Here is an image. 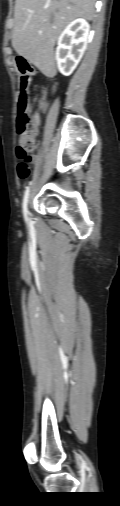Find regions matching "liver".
I'll return each instance as SVG.
<instances>
[{"mask_svg": "<svg viewBox=\"0 0 120 506\" xmlns=\"http://www.w3.org/2000/svg\"><path fill=\"white\" fill-rule=\"evenodd\" d=\"M95 0H16L12 46L46 75L56 74L54 46L74 19L92 20Z\"/></svg>", "mask_w": 120, "mask_h": 506, "instance_id": "6515ba94", "label": "liver"}]
</instances>
